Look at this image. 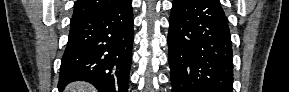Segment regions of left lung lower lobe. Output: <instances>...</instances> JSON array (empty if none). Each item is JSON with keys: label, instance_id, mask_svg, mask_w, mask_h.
<instances>
[{"label": "left lung lower lobe", "instance_id": "0a47b994", "mask_svg": "<svg viewBox=\"0 0 289 92\" xmlns=\"http://www.w3.org/2000/svg\"><path fill=\"white\" fill-rule=\"evenodd\" d=\"M168 46L172 92H232V42L218 0H173Z\"/></svg>", "mask_w": 289, "mask_h": 92}]
</instances>
